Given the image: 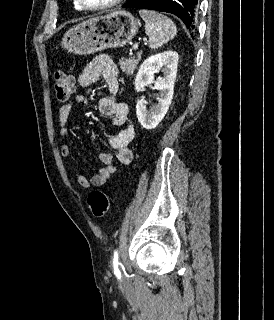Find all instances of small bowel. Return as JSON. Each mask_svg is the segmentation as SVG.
Here are the masks:
<instances>
[{
	"mask_svg": "<svg viewBox=\"0 0 274 320\" xmlns=\"http://www.w3.org/2000/svg\"><path fill=\"white\" fill-rule=\"evenodd\" d=\"M102 80L108 90V95L102 97L98 108L100 113L110 116L112 124L120 130L108 138V144L114 153L104 152L100 154V161L103 168L93 177L87 178L81 172H76V180L82 188L99 187L105 184L116 172V163L128 165L133 160V153L129 149V144L135 136V130L130 122L127 104L117 100L116 94L119 90V76L112 59L106 54L96 56L79 74L78 83L86 88ZM75 102L88 105L89 101L83 95H75L72 100L63 104L59 108L58 123L61 135L68 134L67 122L70 112ZM63 158L70 155V147L63 144L60 148Z\"/></svg>",
	"mask_w": 274,
	"mask_h": 320,
	"instance_id": "c3829d8e",
	"label": "small bowel"
}]
</instances>
